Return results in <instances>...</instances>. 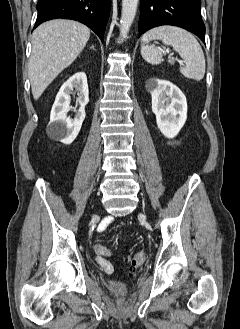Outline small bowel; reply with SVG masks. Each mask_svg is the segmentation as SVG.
Instances as JSON below:
<instances>
[{"mask_svg":"<svg viewBox=\"0 0 240 329\" xmlns=\"http://www.w3.org/2000/svg\"><path fill=\"white\" fill-rule=\"evenodd\" d=\"M111 218L106 219L105 222H109ZM94 250L96 252L95 261L96 263L101 267V269L107 273L112 274L113 273V265L112 263L106 258L107 256L113 255V251L103 245H95Z\"/></svg>","mask_w":240,"mask_h":329,"instance_id":"small-bowel-1","label":"small bowel"}]
</instances>
